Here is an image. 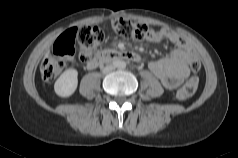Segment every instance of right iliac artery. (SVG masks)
<instances>
[{
	"mask_svg": "<svg viewBox=\"0 0 238 158\" xmlns=\"http://www.w3.org/2000/svg\"><path fill=\"white\" fill-rule=\"evenodd\" d=\"M114 66H118V63H117V62H115V63H114Z\"/></svg>",
	"mask_w": 238,
	"mask_h": 158,
	"instance_id": "obj_1",
	"label": "right iliac artery"
}]
</instances>
